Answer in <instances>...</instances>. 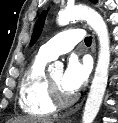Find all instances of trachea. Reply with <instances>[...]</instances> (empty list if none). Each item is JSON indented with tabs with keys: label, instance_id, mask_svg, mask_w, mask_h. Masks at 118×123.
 Here are the masks:
<instances>
[{
	"label": "trachea",
	"instance_id": "obj_1",
	"mask_svg": "<svg viewBox=\"0 0 118 123\" xmlns=\"http://www.w3.org/2000/svg\"><path fill=\"white\" fill-rule=\"evenodd\" d=\"M91 43H92V37L91 36L86 37L85 38V44L86 45H91Z\"/></svg>",
	"mask_w": 118,
	"mask_h": 123
}]
</instances>
